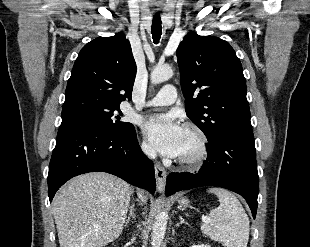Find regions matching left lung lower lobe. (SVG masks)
I'll use <instances>...</instances> for the list:
<instances>
[{
  "label": "left lung lower lobe",
  "mask_w": 310,
  "mask_h": 247,
  "mask_svg": "<svg viewBox=\"0 0 310 247\" xmlns=\"http://www.w3.org/2000/svg\"><path fill=\"white\" fill-rule=\"evenodd\" d=\"M207 154V160L198 172L169 174L166 195L200 186L227 188L245 198L255 218L259 178L253 132L241 131L224 136L207 146Z\"/></svg>",
  "instance_id": "1"
}]
</instances>
